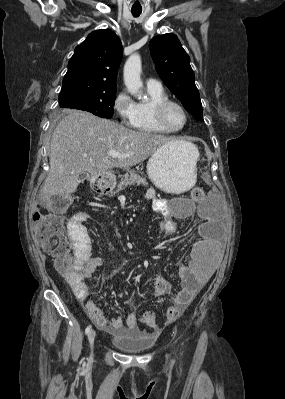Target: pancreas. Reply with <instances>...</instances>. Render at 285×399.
<instances>
[{
	"label": "pancreas",
	"mask_w": 285,
	"mask_h": 399,
	"mask_svg": "<svg viewBox=\"0 0 285 399\" xmlns=\"http://www.w3.org/2000/svg\"><path fill=\"white\" fill-rule=\"evenodd\" d=\"M134 184L146 186L147 185L146 178L141 177L135 171H129L125 175H123V177L121 178V181L118 183L117 189L115 191H113L115 186L113 185L111 187L109 196H114L115 193H118L119 191L124 190L127 186L134 185Z\"/></svg>",
	"instance_id": "pancreas-1"
}]
</instances>
